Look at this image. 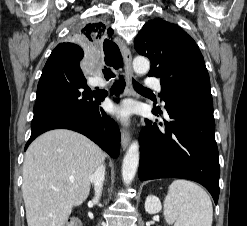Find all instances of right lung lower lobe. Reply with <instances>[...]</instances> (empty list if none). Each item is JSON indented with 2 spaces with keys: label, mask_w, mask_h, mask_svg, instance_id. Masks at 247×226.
I'll return each mask as SVG.
<instances>
[{
  "label": "right lung lower lobe",
  "mask_w": 247,
  "mask_h": 226,
  "mask_svg": "<svg viewBox=\"0 0 247 226\" xmlns=\"http://www.w3.org/2000/svg\"><path fill=\"white\" fill-rule=\"evenodd\" d=\"M84 53L77 44L60 43L43 68L37 87L28 145L40 134L58 128L77 131L98 144L111 157L120 153V131L100 106L104 96L91 91L80 69ZM125 87L120 76L111 89L118 95Z\"/></svg>",
  "instance_id": "98d812e1"
}]
</instances>
